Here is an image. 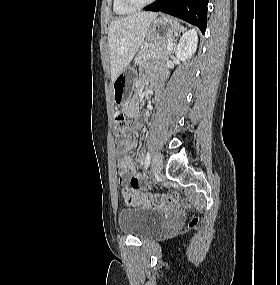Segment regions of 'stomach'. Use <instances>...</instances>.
I'll use <instances>...</instances> for the list:
<instances>
[{"label": "stomach", "mask_w": 280, "mask_h": 285, "mask_svg": "<svg viewBox=\"0 0 280 285\" xmlns=\"http://www.w3.org/2000/svg\"><path fill=\"white\" fill-rule=\"evenodd\" d=\"M178 29V24L169 17L155 18L147 32L145 43L171 38ZM113 91L114 102L117 105H126L131 100L130 70H124L117 76L113 82Z\"/></svg>", "instance_id": "obj_1"}]
</instances>
